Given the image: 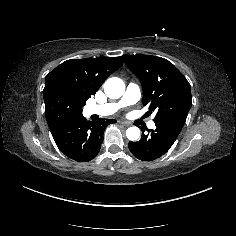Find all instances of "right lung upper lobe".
I'll use <instances>...</instances> for the list:
<instances>
[{
  "label": "right lung upper lobe",
  "mask_w": 236,
  "mask_h": 236,
  "mask_svg": "<svg viewBox=\"0 0 236 236\" xmlns=\"http://www.w3.org/2000/svg\"><path fill=\"white\" fill-rule=\"evenodd\" d=\"M123 64L122 57H100L71 59L63 62L46 76V91L50 87H61L69 97L86 104L107 77Z\"/></svg>",
  "instance_id": "obj_1"
}]
</instances>
